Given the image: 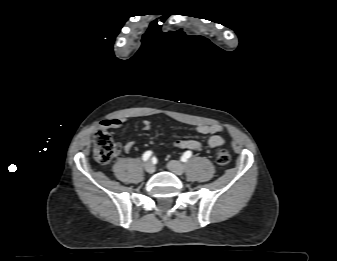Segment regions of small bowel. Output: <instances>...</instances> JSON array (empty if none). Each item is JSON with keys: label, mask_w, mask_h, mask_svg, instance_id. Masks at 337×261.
<instances>
[{"label": "small bowel", "mask_w": 337, "mask_h": 261, "mask_svg": "<svg viewBox=\"0 0 337 261\" xmlns=\"http://www.w3.org/2000/svg\"><path fill=\"white\" fill-rule=\"evenodd\" d=\"M123 124V120L121 118H110L105 119L100 122V129H110V128H119ZM142 126L144 130H150L152 128V124L148 120H144L142 122ZM196 131L199 134L205 135L208 137L207 145L211 148H216L223 146L225 144V139L221 136L223 131L222 126L218 124H210V125H199L196 127ZM174 145L179 149L184 150H200L203 146L202 142L194 139H178L174 142ZM134 146L133 141H127L123 149L125 152H129L132 150Z\"/></svg>", "instance_id": "c3829d8e"}]
</instances>
